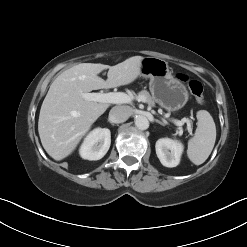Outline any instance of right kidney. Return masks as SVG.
Instances as JSON below:
<instances>
[{
    "mask_svg": "<svg viewBox=\"0 0 247 247\" xmlns=\"http://www.w3.org/2000/svg\"><path fill=\"white\" fill-rule=\"evenodd\" d=\"M111 132L108 128H96L84 139L79 153L83 159L99 160L110 148Z\"/></svg>",
    "mask_w": 247,
    "mask_h": 247,
    "instance_id": "right-kidney-1",
    "label": "right kidney"
}]
</instances>
